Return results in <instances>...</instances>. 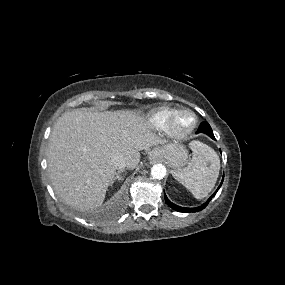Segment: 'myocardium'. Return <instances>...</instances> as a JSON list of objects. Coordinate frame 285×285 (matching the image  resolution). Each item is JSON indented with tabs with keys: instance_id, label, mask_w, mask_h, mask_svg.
Masks as SVG:
<instances>
[{
	"instance_id": "1",
	"label": "myocardium",
	"mask_w": 285,
	"mask_h": 285,
	"mask_svg": "<svg viewBox=\"0 0 285 285\" xmlns=\"http://www.w3.org/2000/svg\"><path fill=\"white\" fill-rule=\"evenodd\" d=\"M189 119V123L184 124L183 120ZM198 119L196 115L189 110H179L175 111L172 116L168 128L170 133L175 137H185L191 134L197 127Z\"/></svg>"
}]
</instances>
